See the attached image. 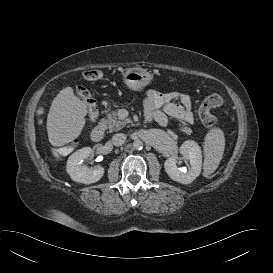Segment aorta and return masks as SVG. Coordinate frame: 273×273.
I'll return each instance as SVG.
<instances>
[{
  "instance_id": "1",
  "label": "aorta",
  "mask_w": 273,
  "mask_h": 273,
  "mask_svg": "<svg viewBox=\"0 0 273 273\" xmlns=\"http://www.w3.org/2000/svg\"><path fill=\"white\" fill-rule=\"evenodd\" d=\"M143 147V142L140 140V139H136L134 142H133V148L138 150V149H141Z\"/></svg>"
}]
</instances>
